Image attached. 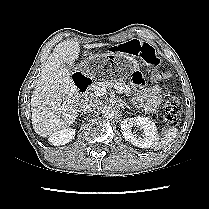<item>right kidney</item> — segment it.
<instances>
[{"label":"right kidney","mask_w":209,"mask_h":209,"mask_svg":"<svg viewBox=\"0 0 209 209\" xmlns=\"http://www.w3.org/2000/svg\"><path fill=\"white\" fill-rule=\"evenodd\" d=\"M75 137V130L73 128H64L54 132L49 137V142L55 146L65 145L72 141Z\"/></svg>","instance_id":"ca27d5eb"}]
</instances>
